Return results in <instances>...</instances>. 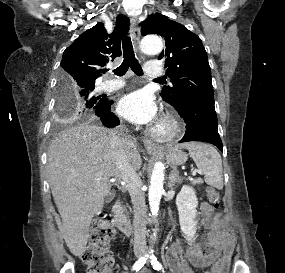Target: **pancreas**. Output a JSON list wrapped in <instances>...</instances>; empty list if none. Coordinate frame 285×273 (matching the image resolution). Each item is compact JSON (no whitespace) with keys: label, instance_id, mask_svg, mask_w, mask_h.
<instances>
[{"label":"pancreas","instance_id":"pancreas-1","mask_svg":"<svg viewBox=\"0 0 285 273\" xmlns=\"http://www.w3.org/2000/svg\"><path fill=\"white\" fill-rule=\"evenodd\" d=\"M191 183L192 185L202 184L203 180L201 178H198V179L193 180Z\"/></svg>","mask_w":285,"mask_h":273}]
</instances>
